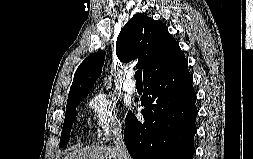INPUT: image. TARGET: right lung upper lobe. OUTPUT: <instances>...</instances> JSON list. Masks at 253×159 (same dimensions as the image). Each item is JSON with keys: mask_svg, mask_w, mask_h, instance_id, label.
Here are the masks:
<instances>
[{"mask_svg": "<svg viewBox=\"0 0 253 159\" xmlns=\"http://www.w3.org/2000/svg\"><path fill=\"white\" fill-rule=\"evenodd\" d=\"M121 62L139 59L144 82L167 76L187 63L178 43L161 21L135 14L122 28L116 42ZM105 51L88 56L77 68L68 101L85 97L101 74Z\"/></svg>", "mask_w": 253, "mask_h": 159, "instance_id": "obj_1", "label": "right lung upper lobe"}]
</instances>
